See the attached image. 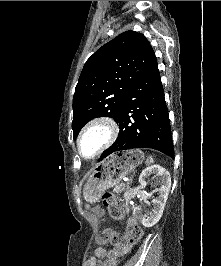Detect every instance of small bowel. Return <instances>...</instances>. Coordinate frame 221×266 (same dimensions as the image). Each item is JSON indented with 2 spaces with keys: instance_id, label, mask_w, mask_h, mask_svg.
<instances>
[{
  "instance_id": "obj_1",
  "label": "small bowel",
  "mask_w": 221,
  "mask_h": 266,
  "mask_svg": "<svg viewBox=\"0 0 221 266\" xmlns=\"http://www.w3.org/2000/svg\"><path fill=\"white\" fill-rule=\"evenodd\" d=\"M97 211L100 209L97 208ZM132 245L127 242L111 248H97L94 254L87 259L85 266H116L118 261L131 251Z\"/></svg>"
}]
</instances>
